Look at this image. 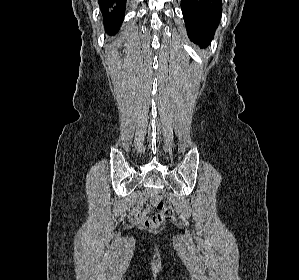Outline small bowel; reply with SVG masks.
Segmentation results:
<instances>
[{
  "label": "small bowel",
  "instance_id": "c3829d8e",
  "mask_svg": "<svg viewBox=\"0 0 299 280\" xmlns=\"http://www.w3.org/2000/svg\"><path fill=\"white\" fill-rule=\"evenodd\" d=\"M146 198L140 197L136 203L135 208L131 212V218L134 222L143 223L147 222L148 213L150 212L149 208H143L145 204Z\"/></svg>",
  "mask_w": 299,
  "mask_h": 280
}]
</instances>
